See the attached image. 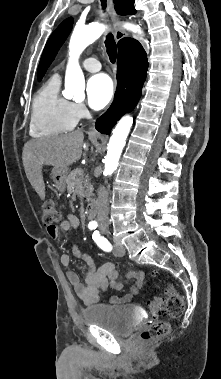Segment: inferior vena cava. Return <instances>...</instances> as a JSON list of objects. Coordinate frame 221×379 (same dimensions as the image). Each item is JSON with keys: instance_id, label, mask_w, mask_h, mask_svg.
Instances as JSON below:
<instances>
[{"instance_id": "602c4592", "label": "inferior vena cava", "mask_w": 221, "mask_h": 379, "mask_svg": "<svg viewBox=\"0 0 221 379\" xmlns=\"http://www.w3.org/2000/svg\"><path fill=\"white\" fill-rule=\"evenodd\" d=\"M99 198V211L97 216V221L101 230H105L109 226L108 219V192L104 186H100L98 189Z\"/></svg>"}]
</instances>
